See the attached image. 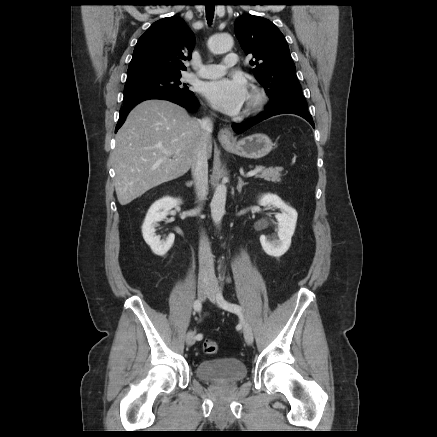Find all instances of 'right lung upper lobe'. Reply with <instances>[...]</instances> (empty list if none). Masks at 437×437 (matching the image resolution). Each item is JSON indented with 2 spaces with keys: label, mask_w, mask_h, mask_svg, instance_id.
<instances>
[{
  "label": "right lung upper lobe",
  "mask_w": 437,
  "mask_h": 437,
  "mask_svg": "<svg viewBox=\"0 0 437 437\" xmlns=\"http://www.w3.org/2000/svg\"><path fill=\"white\" fill-rule=\"evenodd\" d=\"M193 47L194 34L180 17L158 20L137 41L127 74L180 73Z\"/></svg>",
  "instance_id": "1"
}]
</instances>
